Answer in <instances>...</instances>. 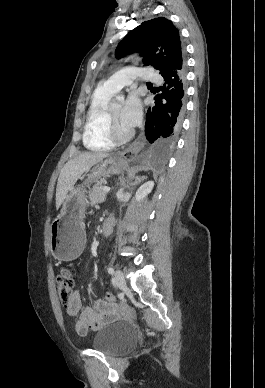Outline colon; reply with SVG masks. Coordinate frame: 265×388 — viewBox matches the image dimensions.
Masks as SVG:
<instances>
[{
	"label": "colon",
	"instance_id": "5ec220e1",
	"mask_svg": "<svg viewBox=\"0 0 265 388\" xmlns=\"http://www.w3.org/2000/svg\"><path fill=\"white\" fill-rule=\"evenodd\" d=\"M56 287L58 291V295L60 298V301L64 305H68V303L71 300L73 288H74V277L73 273L67 269L63 268L57 277L56 281ZM105 300L109 304H115L116 303V297L113 293L108 292L105 296Z\"/></svg>",
	"mask_w": 265,
	"mask_h": 388
}]
</instances>
